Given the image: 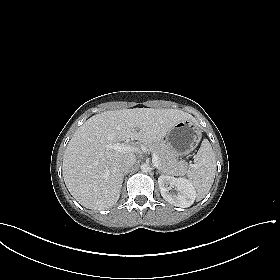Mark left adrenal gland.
<instances>
[{"instance_id": "left-adrenal-gland-1", "label": "left adrenal gland", "mask_w": 280, "mask_h": 280, "mask_svg": "<svg viewBox=\"0 0 280 280\" xmlns=\"http://www.w3.org/2000/svg\"><path fill=\"white\" fill-rule=\"evenodd\" d=\"M158 173L163 174V172H161V171H157V174H158Z\"/></svg>"}]
</instances>
